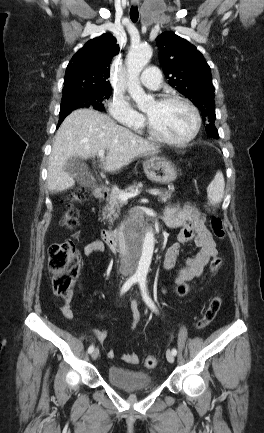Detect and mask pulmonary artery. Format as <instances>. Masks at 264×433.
I'll use <instances>...</instances> for the list:
<instances>
[{
  "instance_id": "obj_1",
  "label": "pulmonary artery",
  "mask_w": 264,
  "mask_h": 433,
  "mask_svg": "<svg viewBox=\"0 0 264 433\" xmlns=\"http://www.w3.org/2000/svg\"><path fill=\"white\" fill-rule=\"evenodd\" d=\"M141 83L149 89L157 90L161 86V73L157 67L146 68L140 77Z\"/></svg>"
}]
</instances>
